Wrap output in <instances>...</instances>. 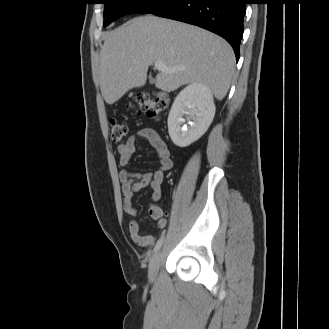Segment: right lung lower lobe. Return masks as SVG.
<instances>
[{
  "label": "right lung lower lobe",
  "mask_w": 329,
  "mask_h": 329,
  "mask_svg": "<svg viewBox=\"0 0 329 329\" xmlns=\"http://www.w3.org/2000/svg\"><path fill=\"white\" fill-rule=\"evenodd\" d=\"M245 0H172L152 14L214 32L233 47L239 60L246 12Z\"/></svg>",
  "instance_id": "right-lung-lower-lobe-1"
}]
</instances>
